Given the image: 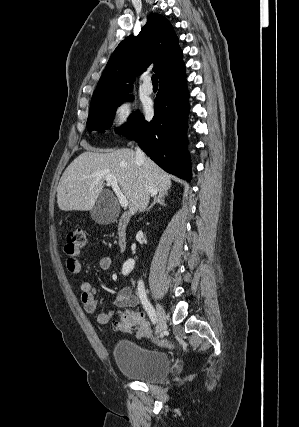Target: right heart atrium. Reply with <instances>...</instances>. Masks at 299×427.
Listing matches in <instances>:
<instances>
[{"instance_id": "obj_1", "label": "right heart atrium", "mask_w": 299, "mask_h": 427, "mask_svg": "<svg viewBox=\"0 0 299 427\" xmlns=\"http://www.w3.org/2000/svg\"><path fill=\"white\" fill-rule=\"evenodd\" d=\"M133 115V105L129 98L115 102L111 112V128L114 134H122L129 127Z\"/></svg>"}]
</instances>
